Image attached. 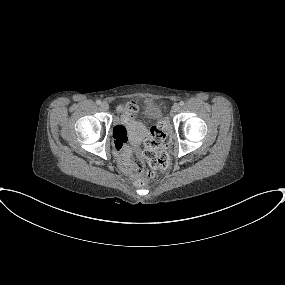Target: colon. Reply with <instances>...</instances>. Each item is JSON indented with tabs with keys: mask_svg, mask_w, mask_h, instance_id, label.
<instances>
[{
	"mask_svg": "<svg viewBox=\"0 0 285 285\" xmlns=\"http://www.w3.org/2000/svg\"><path fill=\"white\" fill-rule=\"evenodd\" d=\"M122 109L125 114L132 116L137 113L138 106L136 103L130 102L124 105ZM119 142L121 145H125L127 142L126 136H120ZM169 144L170 136L167 132V124L163 121L151 129L144 143L142 155L148 161L151 169L146 170L140 160L132 164V169L136 172L134 177L136 186L141 187L145 185L148 180L154 177L155 170L164 171L169 167V155L164 151H160L161 147Z\"/></svg>",
	"mask_w": 285,
	"mask_h": 285,
	"instance_id": "5ec220e1",
	"label": "colon"
}]
</instances>
